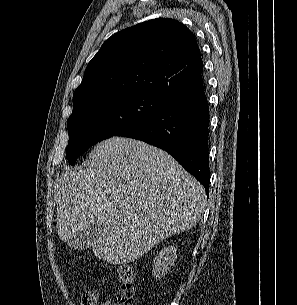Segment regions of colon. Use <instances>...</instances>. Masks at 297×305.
<instances>
[{"instance_id": "colon-1", "label": "colon", "mask_w": 297, "mask_h": 305, "mask_svg": "<svg viewBox=\"0 0 297 305\" xmlns=\"http://www.w3.org/2000/svg\"><path fill=\"white\" fill-rule=\"evenodd\" d=\"M118 274L121 285L115 305H131L136 294L134 270L130 265H121Z\"/></svg>"}]
</instances>
